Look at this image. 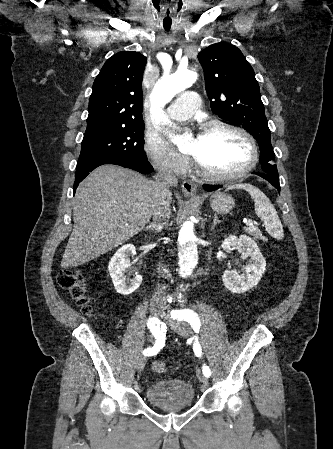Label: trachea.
<instances>
[{
	"mask_svg": "<svg viewBox=\"0 0 333 449\" xmlns=\"http://www.w3.org/2000/svg\"><path fill=\"white\" fill-rule=\"evenodd\" d=\"M169 29H170V27H165V30H166V31H169Z\"/></svg>",
	"mask_w": 333,
	"mask_h": 449,
	"instance_id": "1",
	"label": "trachea"
}]
</instances>
